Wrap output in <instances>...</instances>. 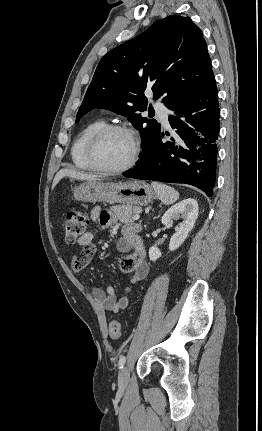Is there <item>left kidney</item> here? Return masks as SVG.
Here are the masks:
<instances>
[{
  "instance_id": "1",
  "label": "left kidney",
  "mask_w": 262,
  "mask_h": 431,
  "mask_svg": "<svg viewBox=\"0 0 262 431\" xmlns=\"http://www.w3.org/2000/svg\"><path fill=\"white\" fill-rule=\"evenodd\" d=\"M198 211L199 208L196 200L188 198L169 208L163 215L161 221L166 227H170L173 221L182 219V222L170 239V251L178 249L185 241L198 218ZM160 257L161 251L156 246H152L149 249L150 260L156 261Z\"/></svg>"
}]
</instances>
